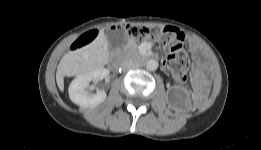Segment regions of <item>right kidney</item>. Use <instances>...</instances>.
<instances>
[{
	"instance_id": "ca27d5eb",
	"label": "right kidney",
	"mask_w": 261,
	"mask_h": 150,
	"mask_svg": "<svg viewBox=\"0 0 261 150\" xmlns=\"http://www.w3.org/2000/svg\"><path fill=\"white\" fill-rule=\"evenodd\" d=\"M110 71L98 68L77 76L70 84L68 92L72 102L81 107H96L106 99V92L99 90L95 94L87 91L91 81L102 80L109 75Z\"/></svg>"
}]
</instances>
